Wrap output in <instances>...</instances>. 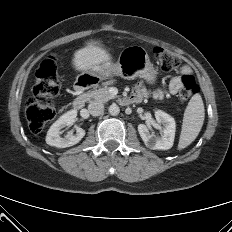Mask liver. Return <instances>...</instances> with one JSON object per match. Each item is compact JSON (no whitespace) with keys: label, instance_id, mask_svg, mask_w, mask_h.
<instances>
[{"label":"liver","instance_id":"1","mask_svg":"<svg viewBox=\"0 0 232 232\" xmlns=\"http://www.w3.org/2000/svg\"><path fill=\"white\" fill-rule=\"evenodd\" d=\"M111 63L110 54L99 44L90 40L86 46L75 51L72 59L76 71L97 70L101 65Z\"/></svg>","mask_w":232,"mask_h":232}]
</instances>
